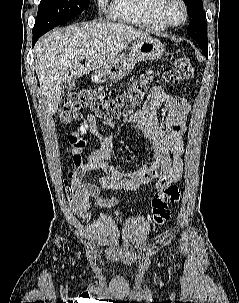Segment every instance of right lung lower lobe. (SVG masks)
Listing matches in <instances>:
<instances>
[{"instance_id":"right-lung-lower-lobe-1","label":"right lung lower lobe","mask_w":239,"mask_h":303,"mask_svg":"<svg viewBox=\"0 0 239 303\" xmlns=\"http://www.w3.org/2000/svg\"><path fill=\"white\" fill-rule=\"evenodd\" d=\"M45 31H33V46L36 43V41L44 34Z\"/></svg>"}]
</instances>
